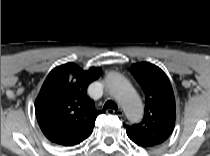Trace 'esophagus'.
Segmentation results:
<instances>
[{"label": "esophagus", "mask_w": 210, "mask_h": 156, "mask_svg": "<svg viewBox=\"0 0 210 156\" xmlns=\"http://www.w3.org/2000/svg\"><path fill=\"white\" fill-rule=\"evenodd\" d=\"M110 112H115L118 116H123L124 114H123V111L121 110V109H118L117 111H115V110H113V109H107L106 110V113H110Z\"/></svg>", "instance_id": "1"}]
</instances>
